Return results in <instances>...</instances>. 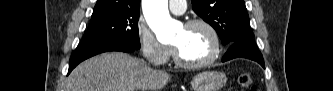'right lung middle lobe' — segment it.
<instances>
[{"label":"right lung middle lobe","mask_w":333,"mask_h":91,"mask_svg":"<svg viewBox=\"0 0 333 91\" xmlns=\"http://www.w3.org/2000/svg\"><path fill=\"white\" fill-rule=\"evenodd\" d=\"M139 12H124L91 18L82 42H120L135 49L140 48L138 32Z\"/></svg>","instance_id":"obj_1"}]
</instances>
